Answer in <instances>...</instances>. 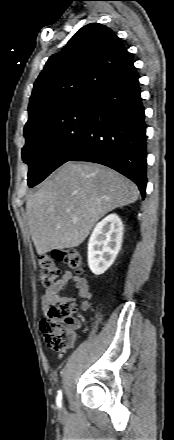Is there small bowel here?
<instances>
[{
  "label": "small bowel",
  "mask_w": 174,
  "mask_h": 440,
  "mask_svg": "<svg viewBox=\"0 0 174 440\" xmlns=\"http://www.w3.org/2000/svg\"><path fill=\"white\" fill-rule=\"evenodd\" d=\"M69 282L74 284L78 295L83 298V301L80 303V309L82 311L89 309L91 293L89 291L88 281L84 277L74 275L69 270H64L61 278L42 290L41 306L44 314H46L51 308L72 304L76 301L75 296L61 295V292L66 289Z\"/></svg>",
  "instance_id": "obj_1"
}]
</instances>
